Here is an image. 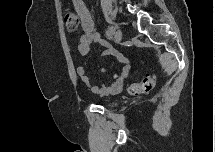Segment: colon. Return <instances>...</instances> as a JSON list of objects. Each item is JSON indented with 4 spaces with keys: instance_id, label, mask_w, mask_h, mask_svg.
I'll return each instance as SVG.
<instances>
[{
    "instance_id": "obj_1",
    "label": "colon",
    "mask_w": 215,
    "mask_h": 152,
    "mask_svg": "<svg viewBox=\"0 0 215 152\" xmlns=\"http://www.w3.org/2000/svg\"><path fill=\"white\" fill-rule=\"evenodd\" d=\"M64 22L68 31L75 32L79 27V18L77 14L72 11H66L64 14ZM105 71V69H102ZM156 84V76L154 74L148 75L142 79L141 82H132L128 84V91L133 95L150 92L154 89Z\"/></svg>"
}]
</instances>
